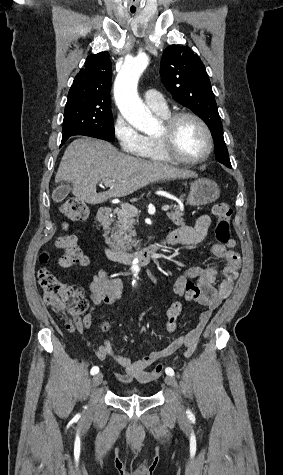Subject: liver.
I'll return each mask as SVG.
<instances>
[{"label": "liver", "instance_id": "obj_1", "mask_svg": "<svg viewBox=\"0 0 283 475\" xmlns=\"http://www.w3.org/2000/svg\"><path fill=\"white\" fill-rule=\"evenodd\" d=\"M106 178L115 180L114 186L108 192L97 194L98 182ZM182 178H197V174L191 170H180L167 164L127 156L104 140L81 138L66 148L55 182H71L72 194L77 202L102 204L109 198L129 196L152 182Z\"/></svg>", "mask_w": 283, "mask_h": 475}]
</instances>
